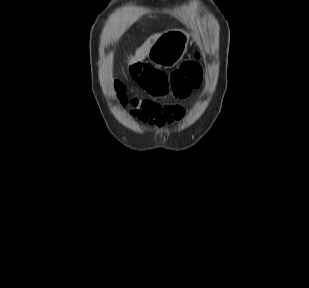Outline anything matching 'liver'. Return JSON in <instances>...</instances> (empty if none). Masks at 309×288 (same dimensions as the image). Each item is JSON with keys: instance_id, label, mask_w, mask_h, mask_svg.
<instances>
[{"instance_id": "6515ba94", "label": "liver", "mask_w": 309, "mask_h": 288, "mask_svg": "<svg viewBox=\"0 0 309 288\" xmlns=\"http://www.w3.org/2000/svg\"><path fill=\"white\" fill-rule=\"evenodd\" d=\"M160 36V34H154L150 36L146 42L136 50L134 57L131 59V63H136L139 61H143L149 53L151 46L154 41Z\"/></svg>"}]
</instances>
